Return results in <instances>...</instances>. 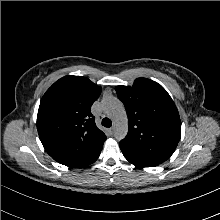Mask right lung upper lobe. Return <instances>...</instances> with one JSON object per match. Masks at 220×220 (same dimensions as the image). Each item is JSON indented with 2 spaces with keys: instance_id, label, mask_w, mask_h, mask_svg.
Masks as SVG:
<instances>
[{
  "instance_id": "1",
  "label": "right lung upper lobe",
  "mask_w": 220,
  "mask_h": 220,
  "mask_svg": "<svg viewBox=\"0 0 220 220\" xmlns=\"http://www.w3.org/2000/svg\"><path fill=\"white\" fill-rule=\"evenodd\" d=\"M101 88L82 76L56 81L41 99L37 129L49 155L60 164L84 167L102 150L105 134L97 128L91 106Z\"/></svg>"
}]
</instances>
